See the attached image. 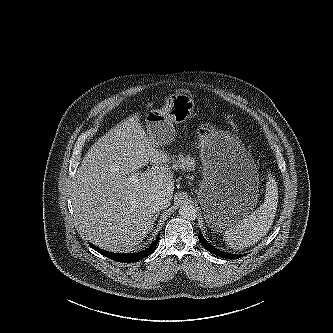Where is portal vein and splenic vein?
<instances>
[{
	"label": "portal vein and splenic vein",
	"instance_id": "portal-vein-and-splenic-vein-1",
	"mask_svg": "<svg viewBox=\"0 0 333 333\" xmlns=\"http://www.w3.org/2000/svg\"><path fill=\"white\" fill-rule=\"evenodd\" d=\"M137 179H138V177H137L136 174H132V175L130 176V181H132V182H136Z\"/></svg>",
	"mask_w": 333,
	"mask_h": 333
}]
</instances>
